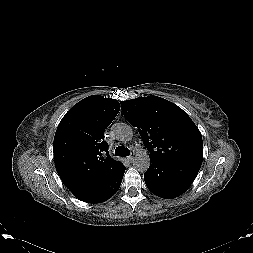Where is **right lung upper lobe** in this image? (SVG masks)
Segmentation results:
<instances>
[{
	"instance_id": "cb5924a9",
	"label": "right lung upper lobe",
	"mask_w": 253,
	"mask_h": 253,
	"mask_svg": "<svg viewBox=\"0 0 253 253\" xmlns=\"http://www.w3.org/2000/svg\"><path fill=\"white\" fill-rule=\"evenodd\" d=\"M120 110L117 100L89 96L62 118L55 133L56 170L78 199L85 198L111 181L124 165L112 159L104 131Z\"/></svg>"
}]
</instances>
